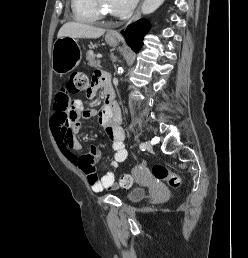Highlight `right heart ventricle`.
I'll use <instances>...</instances> for the list:
<instances>
[{
    "instance_id": "e07e8e85",
    "label": "right heart ventricle",
    "mask_w": 248,
    "mask_h": 258,
    "mask_svg": "<svg viewBox=\"0 0 248 258\" xmlns=\"http://www.w3.org/2000/svg\"><path fill=\"white\" fill-rule=\"evenodd\" d=\"M70 7L73 18L80 23L93 24L98 19L95 0H70Z\"/></svg>"
}]
</instances>
